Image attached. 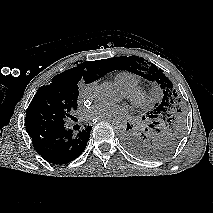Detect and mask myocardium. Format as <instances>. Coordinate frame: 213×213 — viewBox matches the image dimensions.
Returning <instances> with one entry per match:
<instances>
[{
    "mask_svg": "<svg viewBox=\"0 0 213 213\" xmlns=\"http://www.w3.org/2000/svg\"><path fill=\"white\" fill-rule=\"evenodd\" d=\"M124 96L129 100L136 108L147 109L153 103V98L150 92L140 86H136L131 89L123 90Z\"/></svg>",
    "mask_w": 213,
    "mask_h": 213,
    "instance_id": "1",
    "label": "myocardium"
}]
</instances>
